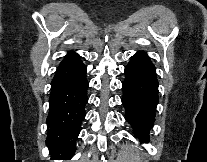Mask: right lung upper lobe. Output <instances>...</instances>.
Here are the masks:
<instances>
[{"mask_svg":"<svg viewBox=\"0 0 207 162\" xmlns=\"http://www.w3.org/2000/svg\"><path fill=\"white\" fill-rule=\"evenodd\" d=\"M74 56H76V54L70 52V53H68V55L65 57V59L72 58V57H74ZM65 59H64V60H65Z\"/></svg>","mask_w":207,"mask_h":162,"instance_id":"1","label":"right lung upper lobe"}]
</instances>
